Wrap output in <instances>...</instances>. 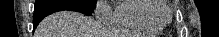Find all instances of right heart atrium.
Returning a JSON list of instances; mask_svg holds the SVG:
<instances>
[{
  "instance_id": "1",
  "label": "right heart atrium",
  "mask_w": 219,
  "mask_h": 37,
  "mask_svg": "<svg viewBox=\"0 0 219 37\" xmlns=\"http://www.w3.org/2000/svg\"><path fill=\"white\" fill-rule=\"evenodd\" d=\"M95 16L104 22H109L112 17L111 8L107 1L99 0L95 4Z\"/></svg>"
}]
</instances>
